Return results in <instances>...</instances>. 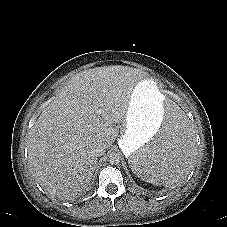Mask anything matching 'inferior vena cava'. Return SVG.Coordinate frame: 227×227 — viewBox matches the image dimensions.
Instances as JSON below:
<instances>
[{
	"label": "inferior vena cava",
	"instance_id": "1",
	"mask_svg": "<svg viewBox=\"0 0 227 227\" xmlns=\"http://www.w3.org/2000/svg\"><path fill=\"white\" fill-rule=\"evenodd\" d=\"M107 146L105 144H99L96 146L94 153L97 157L101 156L104 154L105 150H106Z\"/></svg>",
	"mask_w": 227,
	"mask_h": 227
}]
</instances>
